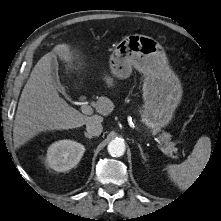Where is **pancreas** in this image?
<instances>
[{
	"instance_id": "1",
	"label": "pancreas",
	"mask_w": 221,
	"mask_h": 221,
	"mask_svg": "<svg viewBox=\"0 0 221 221\" xmlns=\"http://www.w3.org/2000/svg\"><path fill=\"white\" fill-rule=\"evenodd\" d=\"M157 131H154L156 133ZM160 140L164 143V149H165V154H167L170 157H174L173 153L177 152V148L175 147V144L171 142V135L167 132H163L160 135Z\"/></svg>"
}]
</instances>
